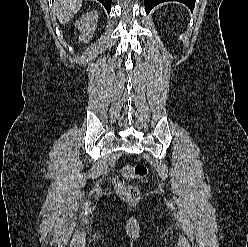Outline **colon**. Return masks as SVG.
Masks as SVG:
<instances>
[{
	"label": "colon",
	"instance_id": "1",
	"mask_svg": "<svg viewBox=\"0 0 248 247\" xmlns=\"http://www.w3.org/2000/svg\"><path fill=\"white\" fill-rule=\"evenodd\" d=\"M147 176V168L141 164H127L123 166L120 176L114 180L115 189L126 200L135 202L140 198L139 189L131 184H127L125 181L130 179L143 180Z\"/></svg>",
	"mask_w": 248,
	"mask_h": 247
}]
</instances>
